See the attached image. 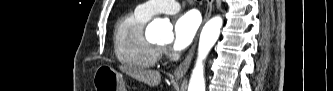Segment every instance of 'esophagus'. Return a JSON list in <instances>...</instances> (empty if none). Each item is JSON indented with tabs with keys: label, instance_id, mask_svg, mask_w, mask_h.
I'll use <instances>...</instances> for the list:
<instances>
[{
	"label": "esophagus",
	"instance_id": "1",
	"mask_svg": "<svg viewBox=\"0 0 333 91\" xmlns=\"http://www.w3.org/2000/svg\"><path fill=\"white\" fill-rule=\"evenodd\" d=\"M212 9H213V0H207V6H206L205 16H204V19H203V24L210 18L211 13H212ZM196 44H197V40L195 41V43L191 47L187 57L184 59V61L174 71V76L175 77L180 78V77H183L186 74V72H187V70H188V68L191 64V61L193 59L195 49H196Z\"/></svg>",
	"mask_w": 333,
	"mask_h": 91
}]
</instances>
